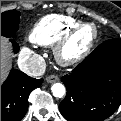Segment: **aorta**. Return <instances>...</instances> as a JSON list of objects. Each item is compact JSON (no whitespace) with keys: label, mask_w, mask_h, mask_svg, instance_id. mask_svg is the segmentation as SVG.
<instances>
[{"label":"aorta","mask_w":121,"mask_h":121,"mask_svg":"<svg viewBox=\"0 0 121 121\" xmlns=\"http://www.w3.org/2000/svg\"><path fill=\"white\" fill-rule=\"evenodd\" d=\"M52 93L55 97L61 98L65 95L66 89L63 84L55 83L51 87Z\"/></svg>","instance_id":"obj_1"}]
</instances>
